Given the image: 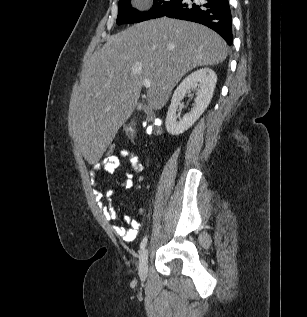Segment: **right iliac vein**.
<instances>
[{
	"label": "right iliac vein",
	"mask_w": 307,
	"mask_h": 317,
	"mask_svg": "<svg viewBox=\"0 0 307 317\" xmlns=\"http://www.w3.org/2000/svg\"><path fill=\"white\" fill-rule=\"evenodd\" d=\"M148 274V250L145 249L140 254L138 275L142 281L147 278Z\"/></svg>",
	"instance_id": "obj_1"
}]
</instances>
